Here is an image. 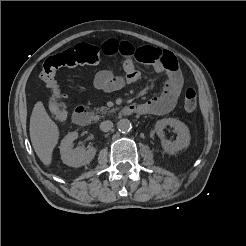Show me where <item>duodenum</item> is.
Instances as JSON below:
<instances>
[{
  "mask_svg": "<svg viewBox=\"0 0 246 246\" xmlns=\"http://www.w3.org/2000/svg\"><path fill=\"white\" fill-rule=\"evenodd\" d=\"M121 113L123 115L139 114L140 106L139 104L127 105L122 109ZM72 120L78 126H86L93 120V114L88 107L78 106L73 113Z\"/></svg>",
  "mask_w": 246,
  "mask_h": 246,
  "instance_id": "410a0bca",
  "label": "duodenum"
}]
</instances>
